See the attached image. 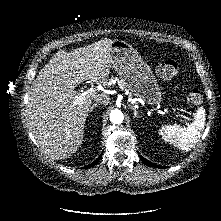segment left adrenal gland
<instances>
[{
  "instance_id": "1",
  "label": "left adrenal gland",
  "mask_w": 221,
  "mask_h": 221,
  "mask_svg": "<svg viewBox=\"0 0 221 221\" xmlns=\"http://www.w3.org/2000/svg\"><path fill=\"white\" fill-rule=\"evenodd\" d=\"M128 106H129L130 109L133 110V113H134L133 118H134V119H136V118H141V117H142V116L139 115L138 111H137L134 107H132L131 105H128Z\"/></svg>"
}]
</instances>
